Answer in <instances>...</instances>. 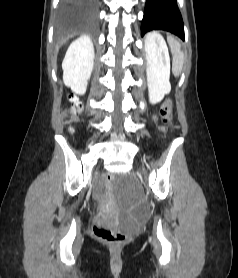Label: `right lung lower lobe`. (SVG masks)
Returning <instances> with one entry per match:
<instances>
[{
	"mask_svg": "<svg viewBox=\"0 0 238 278\" xmlns=\"http://www.w3.org/2000/svg\"><path fill=\"white\" fill-rule=\"evenodd\" d=\"M97 0H66L62 24L65 28H78L94 23Z\"/></svg>",
	"mask_w": 238,
	"mask_h": 278,
	"instance_id": "98d812e1",
	"label": "right lung lower lobe"
}]
</instances>
